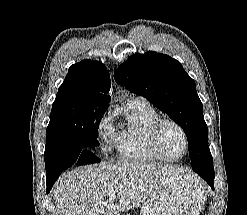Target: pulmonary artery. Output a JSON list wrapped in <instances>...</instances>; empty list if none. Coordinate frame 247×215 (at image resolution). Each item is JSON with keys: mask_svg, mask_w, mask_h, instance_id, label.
<instances>
[{"mask_svg": "<svg viewBox=\"0 0 247 215\" xmlns=\"http://www.w3.org/2000/svg\"><path fill=\"white\" fill-rule=\"evenodd\" d=\"M134 100L141 101V102H147L144 98L142 97H136Z\"/></svg>", "mask_w": 247, "mask_h": 215, "instance_id": "1", "label": "pulmonary artery"}]
</instances>
